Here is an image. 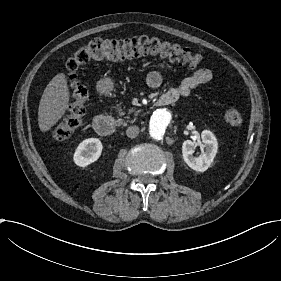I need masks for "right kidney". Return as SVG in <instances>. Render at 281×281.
Here are the masks:
<instances>
[{"mask_svg":"<svg viewBox=\"0 0 281 281\" xmlns=\"http://www.w3.org/2000/svg\"><path fill=\"white\" fill-rule=\"evenodd\" d=\"M102 148L103 146L99 139H85L78 145L74 153L75 164L80 167H86L93 163L100 157Z\"/></svg>","mask_w":281,"mask_h":281,"instance_id":"ca27d5eb","label":"right kidney"}]
</instances>
